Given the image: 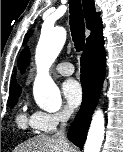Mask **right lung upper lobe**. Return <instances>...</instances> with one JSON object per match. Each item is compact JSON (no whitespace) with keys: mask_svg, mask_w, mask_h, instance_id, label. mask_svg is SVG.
Listing matches in <instances>:
<instances>
[{"mask_svg":"<svg viewBox=\"0 0 123 152\" xmlns=\"http://www.w3.org/2000/svg\"><path fill=\"white\" fill-rule=\"evenodd\" d=\"M82 4H83V10H84L87 28L89 30H91V34L87 38V43H86V46H87V45L94 43L99 38L103 37L102 36L103 26H102V21L100 18V13H97L95 11L94 1L93 0H82ZM31 34H32V32H29L28 37ZM28 37L26 38V41H27ZM15 74H16V69H15ZM19 91H21V87L16 82V78L13 77L11 85H10L9 95L14 94Z\"/></svg>","mask_w":123,"mask_h":152,"instance_id":"cb5924a9","label":"right lung upper lobe"}]
</instances>
